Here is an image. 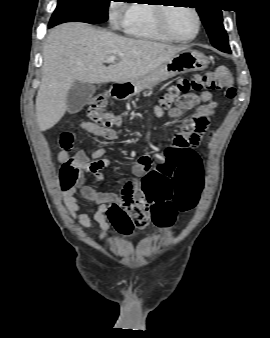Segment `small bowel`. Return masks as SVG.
I'll return each mask as SVG.
<instances>
[{
  "label": "small bowel",
  "mask_w": 270,
  "mask_h": 338,
  "mask_svg": "<svg viewBox=\"0 0 270 338\" xmlns=\"http://www.w3.org/2000/svg\"><path fill=\"white\" fill-rule=\"evenodd\" d=\"M200 97L204 105L202 115L209 119L216 112V103L212 94L207 91L202 92ZM189 99H191V95L186 94L178 99L176 105L181 109L188 108L191 105ZM193 125L194 122L188 125L182 134L186 139V143L179 147H171L167 159L156 165L153 170L145 173L146 170L144 169L146 167L153 166L150 159L145 156L139 157L138 160L140 164L134 166L136 172L145 173L147 175L148 188L156 197V203L161 202L173 205L172 197L176 185L186 186L192 176L201 170L199 156L190 138L191 132L189 131V127ZM79 131L91 134L99 140H114L117 138V134L111 128H105L93 122L84 121L73 126L71 131L63 132L60 136V161L65 163L73 161L81 171L91 173L95 180L100 181L103 178L101 171L108 165V160L104 157L105 149L99 146L90 155L83 150L73 153V141ZM131 191V183L123 188L121 197L97 190L87 183L84 173H81L74 186L63 192V203L70 216L74 219H78V224L81 228H88L91 225L92 219L77 202L75 195L77 193L80 194L86 201L94 205L96 211L93 215V220L98 224L100 239L106 240L110 236V228L112 226L110 218L113 214V209L121 208L122 200L128 202ZM130 209L136 212L135 215H131L133 224L145 228L147 226V215L138 212L137 207L131 203ZM176 214L177 211L173 214L170 223L160 224V226H170L174 222ZM114 227L122 234L129 233V230L126 228Z\"/></svg>",
  "instance_id": "obj_1"
}]
</instances>
